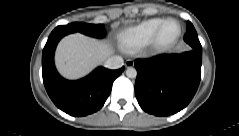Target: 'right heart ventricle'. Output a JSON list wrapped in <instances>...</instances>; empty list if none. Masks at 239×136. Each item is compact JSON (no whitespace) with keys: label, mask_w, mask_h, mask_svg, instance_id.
I'll return each mask as SVG.
<instances>
[{"label":"right heart ventricle","mask_w":239,"mask_h":136,"mask_svg":"<svg viewBox=\"0 0 239 136\" xmlns=\"http://www.w3.org/2000/svg\"><path fill=\"white\" fill-rule=\"evenodd\" d=\"M164 22L165 21L161 19H153L143 22L125 36V44L128 46H134L149 41Z\"/></svg>","instance_id":"obj_1"}]
</instances>
